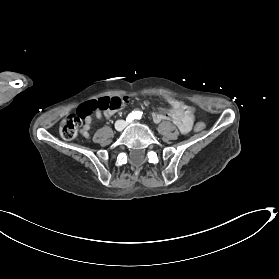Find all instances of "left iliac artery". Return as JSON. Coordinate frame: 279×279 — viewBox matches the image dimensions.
<instances>
[{
	"mask_svg": "<svg viewBox=\"0 0 279 279\" xmlns=\"http://www.w3.org/2000/svg\"><path fill=\"white\" fill-rule=\"evenodd\" d=\"M134 117H135V119H141V117H142V112L136 111Z\"/></svg>",
	"mask_w": 279,
	"mask_h": 279,
	"instance_id": "1",
	"label": "left iliac artery"
}]
</instances>
